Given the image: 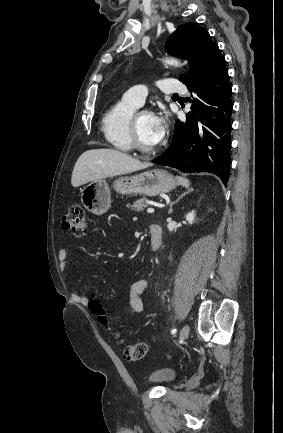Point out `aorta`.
<instances>
[{
  "label": "aorta",
  "mask_w": 283,
  "mask_h": 433,
  "mask_svg": "<svg viewBox=\"0 0 283 433\" xmlns=\"http://www.w3.org/2000/svg\"><path fill=\"white\" fill-rule=\"evenodd\" d=\"M165 63L169 64V65H174V66H178L180 63L175 60V59H166Z\"/></svg>",
  "instance_id": "1"
}]
</instances>
